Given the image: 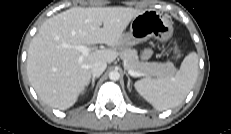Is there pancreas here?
<instances>
[{"instance_id":"obj_1","label":"pancreas","mask_w":231,"mask_h":134,"mask_svg":"<svg viewBox=\"0 0 231 134\" xmlns=\"http://www.w3.org/2000/svg\"><path fill=\"white\" fill-rule=\"evenodd\" d=\"M120 57L127 70L143 73L144 76L163 78L172 76L176 71L174 64L169 61L166 63L139 61L138 53L135 49H123L120 52Z\"/></svg>"}]
</instances>
